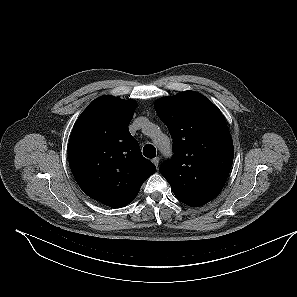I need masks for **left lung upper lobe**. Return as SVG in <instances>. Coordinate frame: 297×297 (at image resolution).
<instances>
[{"label": "left lung upper lobe", "instance_id": "5c2ea615", "mask_svg": "<svg viewBox=\"0 0 297 297\" xmlns=\"http://www.w3.org/2000/svg\"><path fill=\"white\" fill-rule=\"evenodd\" d=\"M154 108L173 139L174 155L160 173L182 203L199 207L213 200L227 180L234 155L222 113L194 91L160 98Z\"/></svg>", "mask_w": 297, "mask_h": 297}]
</instances>
